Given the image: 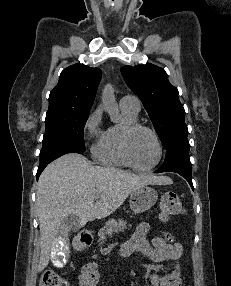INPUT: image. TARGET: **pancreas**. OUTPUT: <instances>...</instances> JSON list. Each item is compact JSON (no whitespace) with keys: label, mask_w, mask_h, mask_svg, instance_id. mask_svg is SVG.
Returning a JSON list of instances; mask_svg holds the SVG:
<instances>
[{"label":"pancreas","mask_w":231,"mask_h":286,"mask_svg":"<svg viewBox=\"0 0 231 286\" xmlns=\"http://www.w3.org/2000/svg\"><path fill=\"white\" fill-rule=\"evenodd\" d=\"M127 228V222L122 219H109L105 226L98 231L100 243H104L107 235L124 231Z\"/></svg>","instance_id":"pancreas-1"}]
</instances>
